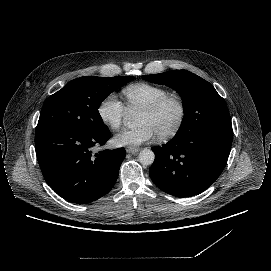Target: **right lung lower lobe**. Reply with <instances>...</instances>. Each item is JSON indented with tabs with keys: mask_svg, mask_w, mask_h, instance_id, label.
<instances>
[{
	"mask_svg": "<svg viewBox=\"0 0 271 271\" xmlns=\"http://www.w3.org/2000/svg\"><path fill=\"white\" fill-rule=\"evenodd\" d=\"M111 137L108 127L85 132L48 128L36 132L37 160L46 182L64 199L85 204L99 199L114 186L125 149L92 154Z\"/></svg>",
	"mask_w": 271,
	"mask_h": 271,
	"instance_id": "right-lung-lower-lobe-1",
	"label": "right lung lower lobe"
}]
</instances>
